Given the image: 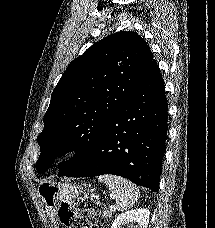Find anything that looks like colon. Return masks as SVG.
Wrapping results in <instances>:
<instances>
[{
    "label": "colon",
    "instance_id": "colon-1",
    "mask_svg": "<svg viewBox=\"0 0 215 228\" xmlns=\"http://www.w3.org/2000/svg\"><path fill=\"white\" fill-rule=\"evenodd\" d=\"M102 204L93 196H84L76 207L68 202H62L58 209V218L67 228H96L86 214L99 215Z\"/></svg>",
    "mask_w": 215,
    "mask_h": 228
}]
</instances>
